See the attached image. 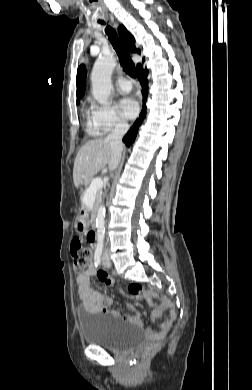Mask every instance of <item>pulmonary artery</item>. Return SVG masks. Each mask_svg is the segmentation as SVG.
Returning <instances> with one entry per match:
<instances>
[{"mask_svg":"<svg viewBox=\"0 0 252 390\" xmlns=\"http://www.w3.org/2000/svg\"><path fill=\"white\" fill-rule=\"evenodd\" d=\"M116 85L118 90L124 93H128L132 88L131 83L125 78L117 79Z\"/></svg>","mask_w":252,"mask_h":390,"instance_id":"1","label":"pulmonary artery"}]
</instances>
